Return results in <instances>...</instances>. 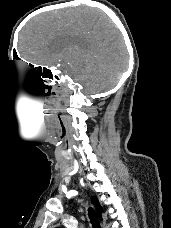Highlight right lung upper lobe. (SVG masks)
Listing matches in <instances>:
<instances>
[{"label":"right lung upper lobe","mask_w":171,"mask_h":228,"mask_svg":"<svg viewBox=\"0 0 171 228\" xmlns=\"http://www.w3.org/2000/svg\"><path fill=\"white\" fill-rule=\"evenodd\" d=\"M92 202L95 206V209H96V212H97L99 219L102 220L103 209H102L101 205L99 204V202L95 196L92 197Z\"/></svg>","instance_id":"obj_1"}]
</instances>
